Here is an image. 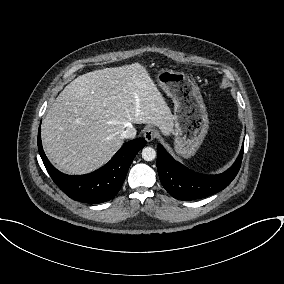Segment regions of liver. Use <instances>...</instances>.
Returning <instances> with one entry per match:
<instances>
[{"instance_id":"1","label":"liver","mask_w":284,"mask_h":284,"mask_svg":"<svg viewBox=\"0 0 284 284\" xmlns=\"http://www.w3.org/2000/svg\"><path fill=\"white\" fill-rule=\"evenodd\" d=\"M132 124L173 132V115L146 68L95 70L74 79L51 105L42 123L43 148L59 170L87 174L111 159Z\"/></svg>"}]
</instances>
